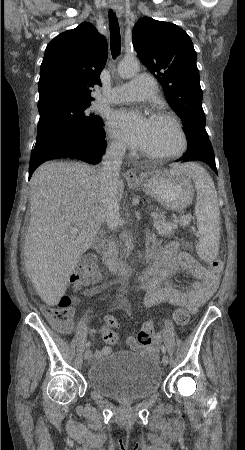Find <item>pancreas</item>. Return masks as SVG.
<instances>
[{
  "instance_id": "pancreas-1",
  "label": "pancreas",
  "mask_w": 245,
  "mask_h": 450,
  "mask_svg": "<svg viewBox=\"0 0 245 450\" xmlns=\"http://www.w3.org/2000/svg\"><path fill=\"white\" fill-rule=\"evenodd\" d=\"M192 216H180L175 218L173 222L166 221L163 215H158V218L153 221V226L156 232L161 236H170L174 233V230L178 228V226L186 227L190 224ZM122 242L126 247L127 251L132 249V244L128 239L127 233L123 234Z\"/></svg>"
}]
</instances>
